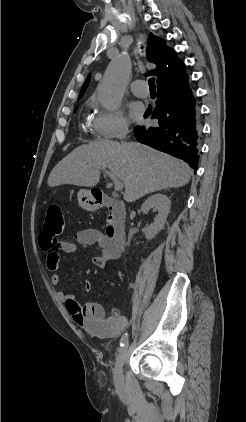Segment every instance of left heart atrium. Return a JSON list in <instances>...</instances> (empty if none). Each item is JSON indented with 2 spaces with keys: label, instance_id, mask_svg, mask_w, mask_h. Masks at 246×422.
I'll use <instances>...</instances> for the list:
<instances>
[{
  "label": "left heart atrium",
  "instance_id": "39dd6f15",
  "mask_svg": "<svg viewBox=\"0 0 246 422\" xmlns=\"http://www.w3.org/2000/svg\"><path fill=\"white\" fill-rule=\"evenodd\" d=\"M130 112L134 119H139L142 115L143 108L139 103H133L130 106Z\"/></svg>",
  "mask_w": 246,
  "mask_h": 422
}]
</instances>
